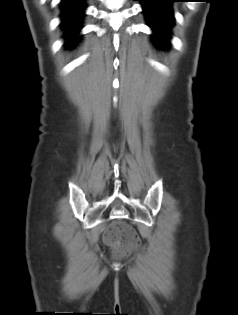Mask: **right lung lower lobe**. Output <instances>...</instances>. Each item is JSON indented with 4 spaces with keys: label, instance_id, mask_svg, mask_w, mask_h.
<instances>
[{
    "label": "right lung lower lobe",
    "instance_id": "right-lung-lower-lobe-1",
    "mask_svg": "<svg viewBox=\"0 0 238 315\" xmlns=\"http://www.w3.org/2000/svg\"><path fill=\"white\" fill-rule=\"evenodd\" d=\"M85 9V0H61L60 27L63 31L66 49L74 48L80 40L79 32L85 17Z\"/></svg>",
    "mask_w": 238,
    "mask_h": 315
}]
</instances>
